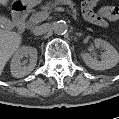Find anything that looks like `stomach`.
Masks as SVG:
<instances>
[{
    "mask_svg": "<svg viewBox=\"0 0 119 119\" xmlns=\"http://www.w3.org/2000/svg\"><path fill=\"white\" fill-rule=\"evenodd\" d=\"M41 1L42 0H21V2L28 7H33L39 4Z\"/></svg>",
    "mask_w": 119,
    "mask_h": 119,
    "instance_id": "0dacf381",
    "label": "stomach"
}]
</instances>
